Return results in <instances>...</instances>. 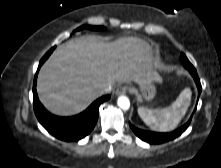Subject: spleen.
Here are the masks:
<instances>
[{
	"label": "spleen",
	"mask_w": 221,
	"mask_h": 168,
	"mask_svg": "<svg viewBox=\"0 0 221 168\" xmlns=\"http://www.w3.org/2000/svg\"><path fill=\"white\" fill-rule=\"evenodd\" d=\"M191 90L185 88L168 107L149 109L139 107L138 114L144 123L153 130L168 132L177 127L190 105Z\"/></svg>",
	"instance_id": "3e777b00"
}]
</instances>
